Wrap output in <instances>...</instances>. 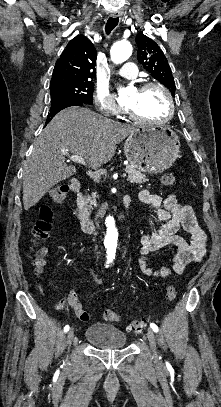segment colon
Returning a JSON list of instances; mask_svg holds the SVG:
<instances>
[{
  "instance_id": "obj_1",
  "label": "colon",
  "mask_w": 221,
  "mask_h": 407,
  "mask_svg": "<svg viewBox=\"0 0 221 407\" xmlns=\"http://www.w3.org/2000/svg\"><path fill=\"white\" fill-rule=\"evenodd\" d=\"M176 181V176L173 172H166L161 177V184L164 186L173 185ZM68 191L67 186H57L53 187L48 191V195L50 196L51 200L55 204H61L66 198V194ZM52 218V212L47 207H43L41 209V218L37 222V224L33 228V236L35 239H44L48 236L51 230V223L50 220ZM47 251L45 248H40L37 250L33 263L36 269H42L45 264V257ZM185 260V259H182ZM176 288L169 284L166 287L165 295L167 300L172 301L176 297ZM74 312L76 317L81 321H88L90 319L89 313L83 309L77 301H73L72 303ZM103 318L106 322L115 323L119 321L120 316L119 314L113 309H106L103 311ZM128 331L140 334L145 329V321L144 320H132L128 327Z\"/></svg>"
}]
</instances>
